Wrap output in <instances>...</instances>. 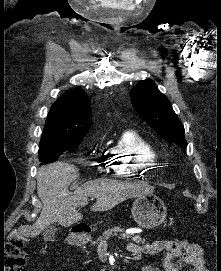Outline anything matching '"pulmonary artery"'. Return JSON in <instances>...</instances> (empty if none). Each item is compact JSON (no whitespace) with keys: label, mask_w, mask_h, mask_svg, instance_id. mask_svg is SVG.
Instances as JSON below:
<instances>
[{"label":"pulmonary artery","mask_w":221,"mask_h":271,"mask_svg":"<svg viewBox=\"0 0 221 271\" xmlns=\"http://www.w3.org/2000/svg\"><path fill=\"white\" fill-rule=\"evenodd\" d=\"M124 138H138L136 128H127V133H124Z\"/></svg>","instance_id":"pulmonary-artery-1"}]
</instances>
